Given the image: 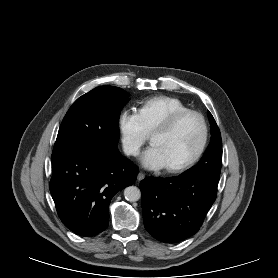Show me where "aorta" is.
<instances>
[{
    "label": "aorta",
    "mask_w": 278,
    "mask_h": 278,
    "mask_svg": "<svg viewBox=\"0 0 278 278\" xmlns=\"http://www.w3.org/2000/svg\"><path fill=\"white\" fill-rule=\"evenodd\" d=\"M124 197L127 201L130 202L138 201L141 197V191L136 186L126 187L124 190Z\"/></svg>",
    "instance_id": "1"
}]
</instances>
